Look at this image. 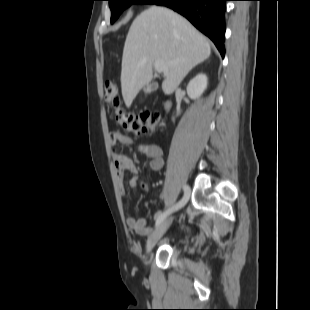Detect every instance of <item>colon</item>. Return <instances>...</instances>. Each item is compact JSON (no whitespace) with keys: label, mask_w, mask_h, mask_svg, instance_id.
<instances>
[{"label":"colon","mask_w":310,"mask_h":310,"mask_svg":"<svg viewBox=\"0 0 310 310\" xmlns=\"http://www.w3.org/2000/svg\"><path fill=\"white\" fill-rule=\"evenodd\" d=\"M106 103L115 109V121L125 131L137 135H143L153 130L160 120V114L156 111H145L138 114L125 112L120 109V96L116 84L106 82L104 84Z\"/></svg>","instance_id":"colon-1"}]
</instances>
